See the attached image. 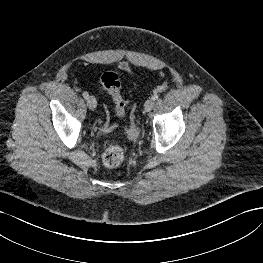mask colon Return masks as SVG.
Masks as SVG:
<instances>
[{"mask_svg":"<svg viewBox=\"0 0 263 263\" xmlns=\"http://www.w3.org/2000/svg\"><path fill=\"white\" fill-rule=\"evenodd\" d=\"M100 82L106 92L111 96L118 117L125 114L126 100L121 94V82L113 71H106L100 77ZM124 160V148L118 142H110L102 154V161L110 168L118 167Z\"/></svg>","mask_w":263,"mask_h":263,"instance_id":"1","label":"colon"}]
</instances>
